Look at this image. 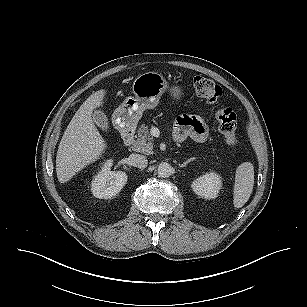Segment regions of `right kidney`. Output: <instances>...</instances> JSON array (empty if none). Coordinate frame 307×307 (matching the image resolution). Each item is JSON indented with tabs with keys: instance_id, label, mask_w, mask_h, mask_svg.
<instances>
[{
	"instance_id": "1",
	"label": "right kidney",
	"mask_w": 307,
	"mask_h": 307,
	"mask_svg": "<svg viewBox=\"0 0 307 307\" xmlns=\"http://www.w3.org/2000/svg\"><path fill=\"white\" fill-rule=\"evenodd\" d=\"M113 161L107 160L91 183L92 194L99 199L116 196L127 183V175L122 171H111Z\"/></svg>"
}]
</instances>
